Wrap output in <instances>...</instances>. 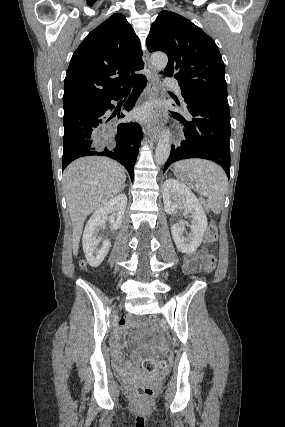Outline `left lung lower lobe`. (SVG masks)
I'll use <instances>...</instances> for the list:
<instances>
[{"label": "left lung lower lobe", "instance_id": "0a47b994", "mask_svg": "<svg viewBox=\"0 0 285 427\" xmlns=\"http://www.w3.org/2000/svg\"><path fill=\"white\" fill-rule=\"evenodd\" d=\"M182 93V92H181ZM183 111L192 117L172 115L185 123L186 141L181 146H172L165 170L175 161L188 158H203L218 163L230 176V111L226 99L206 94L182 93ZM177 104L180 106L179 102Z\"/></svg>", "mask_w": 285, "mask_h": 427}]
</instances>
